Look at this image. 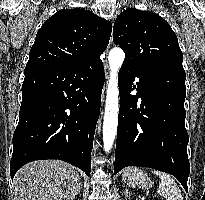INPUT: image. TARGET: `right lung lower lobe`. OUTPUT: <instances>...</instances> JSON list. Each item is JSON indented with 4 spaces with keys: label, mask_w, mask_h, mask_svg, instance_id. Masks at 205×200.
<instances>
[{
    "label": "right lung lower lobe",
    "mask_w": 205,
    "mask_h": 200,
    "mask_svg": "<svg viewBox=\"0 0 205 200\" xmlns=\"http://www.w3.org/2000/svg\"><path fill=\"white\" fill-rule=\"evenodd\" d=\"M102 61L78 67H26L10 174L42 159L66 161L89 176L104 84Z\"/></svg>",
    "instance_id": "1"
}]
</instances>
